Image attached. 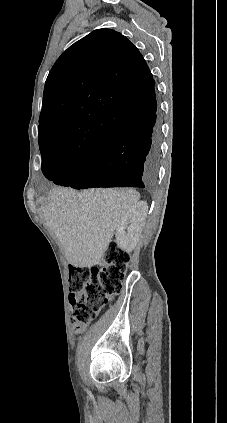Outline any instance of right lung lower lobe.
Listing matches in <instances>:
<instances>
[{
    "mask_svg": "<svg viewBox=\"0 0 227 423\" xmlns=\"http://www.w3.org/2000/svg\"><path fill=\"white\" fill-rule=\"evenodd\" d=\"M101 112L129 121V128L102 139L75 160L42 164L44 176L57 185L75 189H152L157 179L161 141L155 90L144 100L120 103Z\"/></svg>",
    "mask_w": 227,
    "mask_h": 423,
    "instance_id": "98d812e1",
    "label": "right lung lower lobe"
}]
</instances>
